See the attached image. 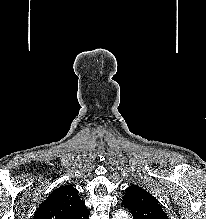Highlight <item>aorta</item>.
Here are the masks:
<instances>
[{
  "label": "aorta",
  "mask_w": 206,
  "mask_h": 219,
  "mask_svg": "<svg viewBox=\"0 0 206 219\" xmlns=\"http://www.w3.org/2000/svg\"><path fill=\"white\" fill-rule=\"evenodd\" d=\"M112 219H131L130 215L124 210H118L114 213Z\"/></svg>",
  "instance_id": "aorta-1"
}]
</instances>
